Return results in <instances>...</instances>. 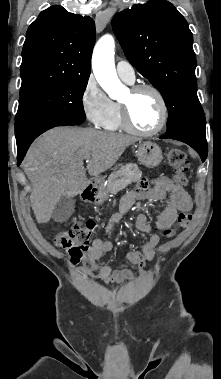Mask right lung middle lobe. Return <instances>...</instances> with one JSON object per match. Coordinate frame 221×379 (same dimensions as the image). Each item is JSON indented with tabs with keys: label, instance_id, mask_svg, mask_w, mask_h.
Here are the masks:
<instances>
[{
	"label": "right lung middle lobe",
	"instance_id": "obj_1",
	"mask_svg": "<svg viewBox=\"0 0 221 379\" xmlns=\"http://www.w3.org/2000/svg\"><path fill=\"white\" fill-rule=\"evenodd\" d=\"M88 78L59 80L20 90L15 118L17 143L35 139L55 126L85 120L82 97Z\"/></svg>",
	"mask_w": 221,
	"mask_h": 379
}]
</instances>
